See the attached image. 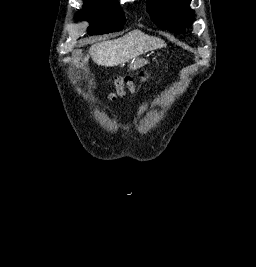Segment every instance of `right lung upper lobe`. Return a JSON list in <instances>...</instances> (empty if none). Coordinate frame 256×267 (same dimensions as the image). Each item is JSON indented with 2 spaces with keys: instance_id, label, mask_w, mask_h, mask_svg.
Here are the masks:
<instances>
[{
  "instance_id": "cb5924a9",
  "label": "right lung upper lobe",
  "mask_w": 256,
  "mask_h": 267,
  "mask_svg": "<svg viewBox=\"0 0 256 267\" xmlns=\"http://www.w3.org/2000/svg\"><path fill=\"white\" fill-rule=\"evenodd\" d=\"M90 1H114L116 2V0H84V2H90Z\"/></svg>"
}]
</instances>
